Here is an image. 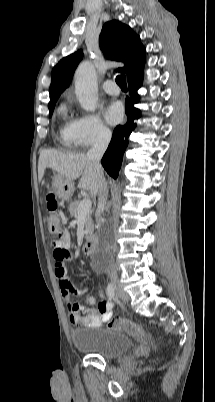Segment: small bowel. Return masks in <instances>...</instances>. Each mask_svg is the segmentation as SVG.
I'll return each mask as SVG.
<instances>
[{"instance_id":"small-bowel-1","label":"small bowel","mask_w":215,"mask_h":402,"mask_svg":"<svg viewBox=\"0 0 215 402\" xmlns=\"http://www.w3.org/2000/svg\"><path fill=\"white\" fill-rule=\"evenodd\" d=\"M70 247L71 237L67 231L61 232L58 239L52 241L55 275L67 306L69 320L76 325L83 324L93 328L101 327L103 324L110 322L113 303L100 300L95 306V298L87 294V289L84 286L77 288L73 285L65 266L66 262L73 258ZM73 297L82 298L86 305L75 302Z\"/></svg>"}]
</instances>
